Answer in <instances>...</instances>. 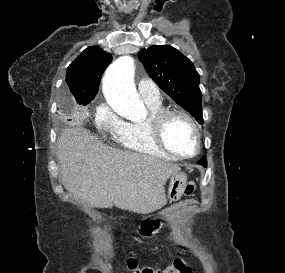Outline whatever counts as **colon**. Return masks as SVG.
Masks as SVG:
<instances>
[{
    "mask_svg": "<svg viewBox=\"0 0 285 273\" xmlns=\"http://www.w3.org/2000/svg\"><path fill=\"white\" fill-rule=\"evenodd\" d=\"M196 188L195 182H188L184 189V195L188 197L192 196ZM127 265L132 273H193L192 263L185 257L176 258L171 266L163 269L139 267L135 258H129Z\"/></svg>",
    "mask_w": 285,
    "mask_h": 273,
    "instance_id": "5ec220e1",
    "label": "colon"
}]
</instances>
